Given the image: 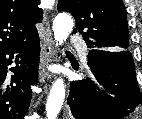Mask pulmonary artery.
<instances>
[{
    "label": "pulmonary artery",
    "instance_id": "pulmonary-artery-1",
    "mask_svg": "<svg viewBox=\"0 0 142 119\" xmlns=\"http://www.w3.org/2000/svg\"><path fill=\"white\" fill-rule=\"evenodd\" d=\"M69 43L71 45H76L79 47L81 59L83 62H86L88 50L87 47L84 45L82 39L79 38L78 36H71L69 39Z\"/></svg>",
    "mask_w": 142,
    "mask_h": 119
}]
</instances>
